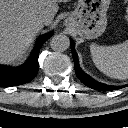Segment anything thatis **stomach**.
<instances>
[{"mask_svg": "<svg viewBox=\"0 0 128 128\" xmlns=\"http://www.w3.org/2000/svg\"><path fill=\"white\" fill-rule=\"evenodd\" d=\"M111 0H78L76 9L65 20L81 38L101 36L107 26V10Z\"/></svg>", "mask_w": 128, "mask_h": 128, "instance_id": "obj_1", "label": "stomach"}]
</instances>
